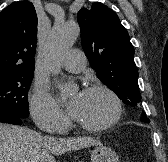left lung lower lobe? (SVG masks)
<instances>
[{
    "mask_svg": "<svg viewBox=\"0 0 168 162\" xmlns=\"http://www.w3.org/2000/svg\"><path fill=\"white\" fill-rule=\"evenodd\" d=\"M141 120V119H140ZM141 121H143V122H145V123H149V120H146V119H143V120H141Z\"/></svg>",
    "mask_w": 168,
    "mask_h": 162,
    "instance_id": "obj_1",
    "label": "left lung lower lobe"
}]
</instances>
